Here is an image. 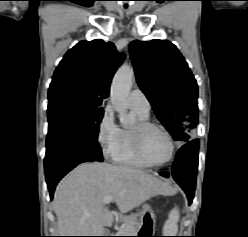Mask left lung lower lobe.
Masks as SVG:
<instances>
[{"mask_svg":"<svg viewBox=\"0 0 248 237\" xmlns=\"http://www.w3.org/2000/svg\"><path fill=\"white\" fill-rule=\"evenodd\" d=\"M199 140L195 139L182 146L178 151L171 173L161 172L164 177H173L186 193L189 204L195 191L196 174L198 167Z\"/></svg>","mask_w":248,"mask_h":237,"instance_id":"1","label":"left lung lower lobe"}]
</instances>
